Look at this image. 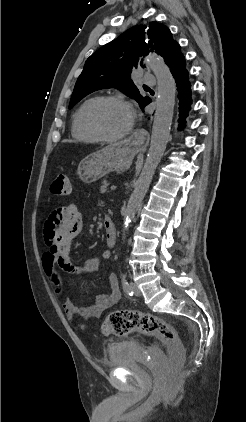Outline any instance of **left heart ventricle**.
<instances>
[{"label": "left heart ventricle", "mask_w": 246, "mask_h": 422, "mask_svg": "<svg viewBox=\"0 0 246 422\" xmlns=\"http://www.w3.org/2000/svg\"><path fill=\"white\" fill-rule=\"evenodd\" d=\"M94 120L103 133L107 135H118L124 132L130 125L131 112L122 104L107 102L96 109Z\"/></svg>", "instance_id": "left-heart-ventricle-1"}]
</instances>
